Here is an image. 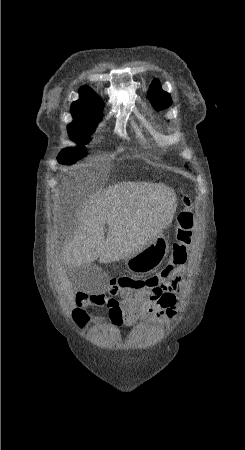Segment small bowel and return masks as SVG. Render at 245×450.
Instances as JSON below:
<instances>
[{
    "label": "small bowel",
    "instance_id": "small-bowel-1",
    "mask_svg": "<svg viewBox=\"0 0 245 450\" xmlns=\"http://www.w3.org/2000/svg\"><path fill=\"white\" fill-rule=\"evenodd\" d=\"M185 270L184 265L172 269L165 267L147 278L145 286L135 292L114 287L109 294L91 296L90 302L108 309V317L116 329L144 319L153 323L175 320Z\"/></svg>",
    "mask_w": 245,
    "mask_h": 450
}]
</instances>
